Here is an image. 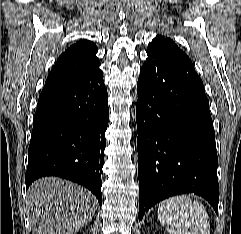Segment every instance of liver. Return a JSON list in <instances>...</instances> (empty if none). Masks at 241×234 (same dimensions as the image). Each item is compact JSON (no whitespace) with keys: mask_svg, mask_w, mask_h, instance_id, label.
I'll return each instance as SVG.
<instances>
[{"mask_svg":"<svg viewBox=\"0 0 241 234\" xmlns=\"http://www.w3.org/2000/svg\"><path fill=\"white\" fill-rule=\"evenodd\" d=\"M33 234H75L94 216L97 201L87 189L57 177L35 181L27 191Z\"/></svg>","mask_w":241,"mask_h":234,"instance_id":"1","label":"liver"}]
</instances>
